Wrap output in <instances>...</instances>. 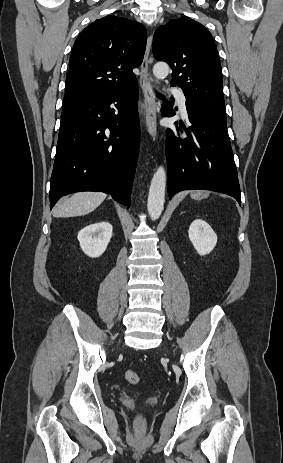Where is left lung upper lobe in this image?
<instances>
[{"mask_svg":"<svg viewBox=\"0 0 283 463\" xmlns=\"http://www.w3.org/2000/svg\"><path fill=\"white\" fill-rule=\"evenodd\" d=\"M153 54L171 66V85L183 90L188 105L227 121L217 47L203 25L189 17L170 20L156 30Z\"/></svg>","mask_w":283,"mask_h":463,"instance_id":"5c2ea615","label":"left lung upper lobe"}]
</instances>
